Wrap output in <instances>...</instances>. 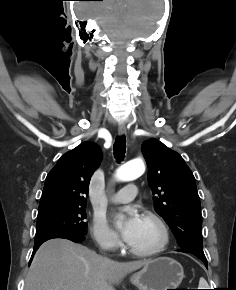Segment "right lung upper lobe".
<instances>
[{"instance_id":"obj_1","label":"right lung upper lobe","mask_w":236,"mask_h":290,"mask_svg":"<svg viewBox=\"0 0 236 290\" xmlns=\"http://www.w3.org/2000/svg\"><path fill=\"white\" fill-rule=\"evenodd\" d=\"M101 157L99 147L89 142L65 153L46 177L39 209L86 205L89 182Z\"/></svg>"}]
</instances>
